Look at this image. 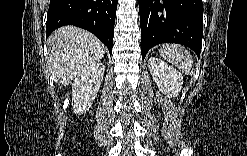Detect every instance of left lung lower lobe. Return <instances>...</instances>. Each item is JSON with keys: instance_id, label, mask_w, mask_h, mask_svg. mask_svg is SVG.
Returning a JSON list of instances; mask_svg holds the SVG:
<instances>
[{"instance_id": "0a47b994", "label": "left lung lower lobe", "mask_w": 247, "mask_h": 156, "mask_svg": "<svg viewBox=\"0 0 247 156\" xmlns=\"http://www.w3.org/2000/svg\"><path fill=\"white\" fill-rule=\"evenodd\" d=\"M141 52L160 43H178L199 57L203 36L202 0H139Z\"/></svg>"}]
</instances>
